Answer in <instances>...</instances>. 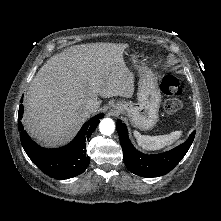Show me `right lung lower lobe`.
Segmentation results:
<instances>
[{
  "label": "right lung lower lobe",
  "instance_id": "98d812e1",
  "mask_svg": "<svg viewBox=\"0 0 221 221\" xmlns=\"http://www.w3.org/2000/svg\"><path fill=\"white\" fill-rule=\"evenodd\" d=\"M23 112L24 108L21 104L18 113L21 143L29 158L41 171L55 179H69L86 170L90 162L86 154V142L104 114L97 115L85 123L75 139L67 146L46 149L37 145L24 131L21 124Z\"/></svg>",
  "mask_w": 221,
  "mask_h": 221
}]
</instances>
